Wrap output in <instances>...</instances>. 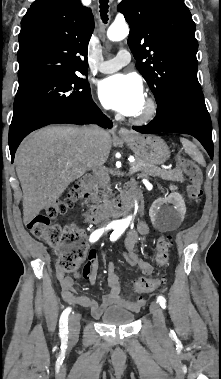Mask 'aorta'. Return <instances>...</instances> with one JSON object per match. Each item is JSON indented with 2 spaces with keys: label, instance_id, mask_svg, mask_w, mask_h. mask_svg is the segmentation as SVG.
Returning <instances> with one entry per match:
<instances>
[{
  "label": "aorta",
  "instance_id": "1",
  "mask_svg": "<svg viewBox=\"0 0 221 379\" xmlns=\"http://www.w3.org/2000/svg\"><path fill=\"white\" fill-rule=\"evenodd\" d=\"M128 34H129V27L126 23H113L107 31V36L111 41H120L124 39L125 37H127ZM131 219L132 217L129 216L123 219L121 223L124 226H127L130 223Z\"/></svg>",
  "mask_w": 221,
  "mask_h": 379
}]
</instances>
